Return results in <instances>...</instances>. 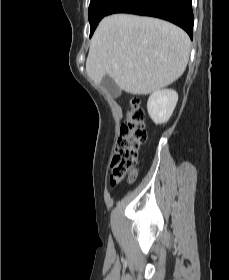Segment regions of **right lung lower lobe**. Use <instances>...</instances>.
I'll list each match as a JSON object with an SVG mask.
<instances>
[{"label": "right lung lower lobe", "instance_id": "1", "mask_svg": "<svg viewBox=\"0 0 229 280\" xmlns=\"http://www.w3.org/2000/svg\"><path fill=\"white\" fill-rule=\"evenodd\" d=\"M132 13L170 21L193 37L194 16L191 0H115L107 15Z\"/></svg>", "mask_w": 229, "mask_h": 280}]
</instances>
